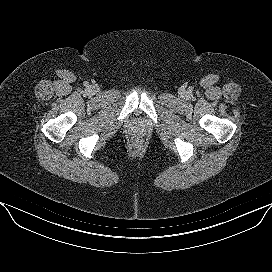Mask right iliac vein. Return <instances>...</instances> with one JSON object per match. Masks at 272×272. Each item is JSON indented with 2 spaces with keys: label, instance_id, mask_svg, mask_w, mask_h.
<instances>
[{
  "label": "right iliac vein",
  "instance_id": "obj_1",
  "mask_svg": "<svg viewBox=\"0 0 272 272\" xmlns=\"http://www.w3.org/2000/svg\"><path fill=\"white\" fill-rule=\"evenodd\" d=\"M89 92L92 93V94H94L96 92L95 87H90Z\"/></svg>",
  "mask_w": 272,
  "mask_h": 272
}]
</instances>
